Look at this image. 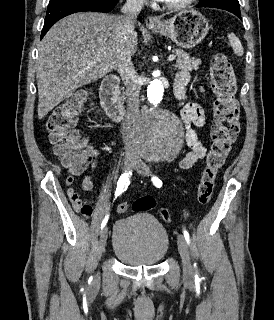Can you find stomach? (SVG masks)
<instances>
[{
	"instance_id": "obj_1",
	"label": "stomach",
	"mask_w": 274,
	"mask_h": 320,
	"mask_svg": "<svg viewBox=\"0 0 274 320\" xmlns=\"http://www.w3.org/2000/svg\"><path fill=\"white\" fill-rule=\"evenodd\" d=\"M162 24L164 26H150L149 30L160 34V36H167L177 46L185 48V50L198 46L209 30L206 18L195 10L178 12L173 18L163 20Z\"/></svg>"
}]
</instances>
